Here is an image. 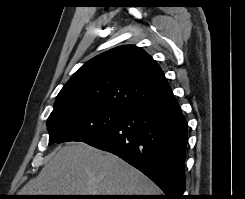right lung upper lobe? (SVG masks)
<instances>
[{"label":"right lung upper lobe","mask_w":245,"mask_h":199,"mask_svg":"<svg viewBox=\"0 0 245 199\" xmlns=\"http://www.w3.org/2000/svg\"><path fill=\"white\" fill-rule=\"evenodd\" d=\"M172 94L156 62L142 49L124 45L86 62L61 89L54 110L93 103L131 111Z\"/></svg>","instance_id":"obj_1"}]
</instances>
